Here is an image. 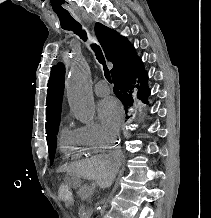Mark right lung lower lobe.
<instances>
[{"mask_svg":"<svg viewBox=\"0 0 211 218\" xmlns=\"http://www.w3.org/2000/svg\"><path fill=\"white\" fill-rule=\"evenodd\" d=\"M114 93L121 99L124 97H132L127 92L136 88V97L143 103L147 104L150 90L148 88V75L143 68L142 61L135 55L129 60L118 64L111 72Z\"/></svg>","mask_w":211,"mask_h":218,"instance_id":"right-lung-lower-lobe-1","label":"right lung lower lobe"}]
</instances>
